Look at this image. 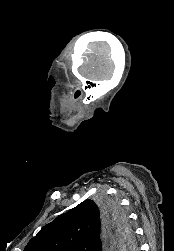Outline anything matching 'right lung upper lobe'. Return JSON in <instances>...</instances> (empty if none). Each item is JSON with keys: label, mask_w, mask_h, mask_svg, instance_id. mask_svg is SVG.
Wrapping results in <instances>:
<instances>
[{"label": "right lung upper lobe", "mask_w": 174, "mask_h": 251, "mask_svg": "<svg viewBox=\"0 0 174 251\" xmlns=\"http://www.w3.org/2000/svg\"><path fill=\"white\" fill-rule=\"evenodd\" d=\"M104 219L97 204L87 199L44 226L24 251L118 250L121 241L112 239L109 247L101 245Z\"/></svg>", "instance_id": "1"}]
</instances>
